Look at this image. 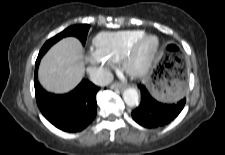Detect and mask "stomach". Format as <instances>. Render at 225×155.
Segmentation results:
<instances>
[{"instance_id":"obj_1","label":"stomach","mask_w":225,"mask_h":155,"mask_svg":"<svg viewBox=\"0 0 225 155\" xmlns=\"http://www.w3.org/2000/svg\"><path fill=\"white\" fill-rule=\"evenodd\" d=\"M152 95L162 102H176L184 94L185 81L178 70L156 64L145 79Z\"/></svg>"}]
</instances>
